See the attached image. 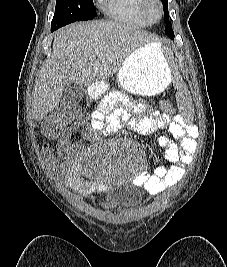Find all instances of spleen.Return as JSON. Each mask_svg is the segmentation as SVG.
<instances>
[{
    "label": "spleen",
    "mask_w": 227,
    "mask_h": 267,
    "mask_svg": "<svg viewBox=\"0 0 227 267\" xmlns=\"http://www.w3.org/2000/svg\"><path fill=\"white\" fill-rule=\"evenodd\" d=\"M157 41H168V36H157ZM155 47H173V42H155ZM167 55H174V50H167ZM178 81H185V76H178ZM174 86L179 93H175V98H187V100H174V105H193L192 93H186L188 82H175ZM177 110L181 115H194L193 106H178ZM184 121H195V116H184Z\"/></svg>",
    "instance_id": "spleen-1"
}]
</instances>
